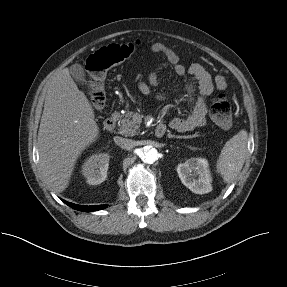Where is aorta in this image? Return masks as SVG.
<instances>
[{
  "label": "aorta",
  "mask_w": 287,
  "mask_h": 287,
  "mask_svg": "<svg viewBox=\"0 0 287 287\" xmlns=\"http://www.w3.org/2000/svg\"><path fill=\"white\" fill-rule=\"evenodd\" d=\"M158 151L152 146H144L141 148L140 157L143 162L152 164L158 160Z\"/></svg>",
  "instance_id": "762f6f07"
}]
</instances>
